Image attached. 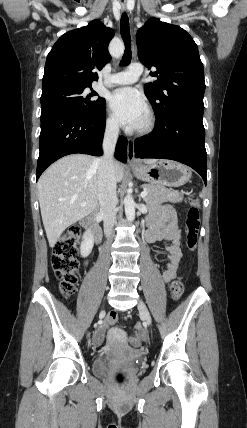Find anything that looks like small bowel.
I'll return each instance as SVG.
<instances>
[{
  "mask_svg": "<svg viewBox=\"0 0 247 428\" xmlns=\"http://www.w3.org/2000/svg\"><path fill=\"white\" fill-rule=\"evenodd\" d=\"M146 239L153 243L162 240L169 242L165 246L168 252V263L163 272V280L166 283L172 281L179 270L182 258L181 233L177 225L176 213L170 205L154 206L148 221ZM103 339V329H99L94 337L96 344Z\"/></svg>",
  "mask_w": 247,
  "mask_h": 428,
  "instance_id": "small-bowel-1",
  "label": "small bowel"
}]
</instances>
